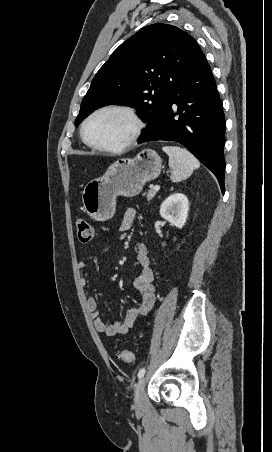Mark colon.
Segmentation results:
<instances>
[{
    "mask_svg": "<svg viewBox=\"0 0 272 452\" xmlns=\"http://www.w3.org/2000/svg\"><path fill=\"white\" fill-rule=\"evenodd\" d=\"M76 226L79 242L82 244L90 243L95 236L94 228L91 223L87 220L80 219L77 221ZM116 358L125 363H132L134 361L133 353L127 349H123L117 352Z\"/></svg>",
    "mask_w": 272,
    "mask_h": 452,
    "instance_id": "5ec220e1",
    "label": "colon"
}]
</instances>
